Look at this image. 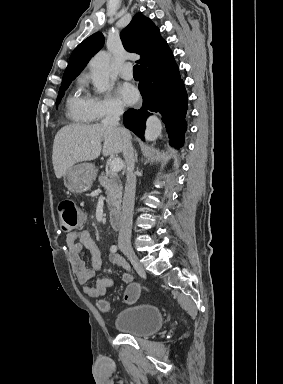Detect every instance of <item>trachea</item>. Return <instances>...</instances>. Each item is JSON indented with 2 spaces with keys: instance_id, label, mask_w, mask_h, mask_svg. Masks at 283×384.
Listing matches in <instances>:
<instances>
[{
  "instance_id": "trachea-1",
  "label": "trachea",
  "mask_w": 283,
  "mask_h": 384,
  "mask_svg": "<svg viewBox=\"0 0 283 384\" xmlns=\"http://www.w3.org/2000/svg\"><path fill=\"white\" fill-rule=\"evenodd\" d=\"M133 74H139V66L138 65H134Z\"/></svg>"
}]
</instances>
